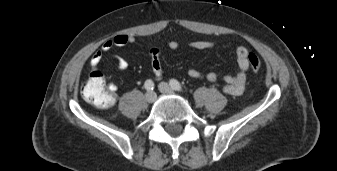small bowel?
I'll return each mask as SVG.
<instances>
[{"label": "small bowel", "mask_w": 337, "mask_h": 171, "mask_svg": "<svg viewBox=\"0 0 337 171\" xmlns=\"http://www.w3.org/2000/svg\"><path fill=\"white\" fill-rule=\"evenodd\" d=\"M136 42V38L130 34H117L113 38L106 40L102 47L96 51L91 59V71L92 73L99 71V65L105 55H108L109 52L114 47H124L127 45L134 44ZM216 45L213 41L208 40H196L190 42L189 46L196 50H208L214 48ZM167 46L172 49L176 50L179 48V43L176 40H170L167 43ZM150 59H151V69L156 78H160L163 75L162 64L160 60V50L158 48H152L150 50ZM248 54L249 51L247 48L243 46H239L235 50V59L237 63L238 70L235 74H225L220 76L216 72H207L203 73L197 69H190L188 71V75L194 79H206L211 83H215L218 80H222L224 83L223 90L224 92L231 94V95H240L245 88V83L247 80V71L249 69V62H248ZM117 60V69L119 71H125L129 63L124 57L115 56ZM108 90L113 93L115 96L118 87L115 83H108L107 85Z\"/></svg>", "instance_id": "small-bowel-1"}]
</instances>
